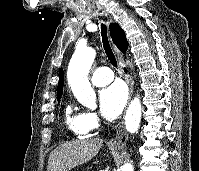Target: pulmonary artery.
I'll use <instances>...</instances> for the list:
<instances>
[{
  "mask_svg": "<svg viewBox=\"0 0 199 171\" xmlns=\"http://www.w3.org/2000/svg\"><path fill=\"white\" fill-rule=\"evenodd\" d=\"M113 80V72L107 67H99L91 76V82L95 86H104Z\"/></svg>",
  "mask_w": 199,
  "mask_h": 171,
  "instance_id": "obj_1",
  "label": "pulmonary artery"
}]
</instances>
